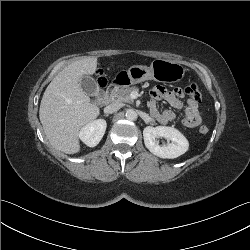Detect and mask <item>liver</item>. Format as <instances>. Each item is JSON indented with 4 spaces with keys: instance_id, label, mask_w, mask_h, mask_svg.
Instances as JSON below:
<instances>
[{
    "instance_id": "liver-1",
    "label": "liver",
    "mask_w": 250,
    "mask_h": 250,
    "mask_svg": "<svg viewBox=\"0 0 250 250\" xmlns=\"http://www.w3.org/2000/svg\"><path fill=\"white\" fill-rule=\"evenodd\" d=\"M96 68V57L74 61L54 77L43 94L39 118L50 144L58 151L78 153L79 131L100 113L80 85L82 77L93 75Z\"/></svg>"
}]
</instances>
